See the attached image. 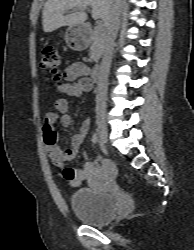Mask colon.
<instances>
[{
    "label": "colon",
    "mask_w": 194,
    "mask_h": 250,
    "mask_svg": "<svg viewBox=\"0 0 194 250\" xmlns=\"http://www.w3.org/2000/svg\"><path fill=\"white\" fill-rule=\"evenodd\" d=\"M61 57L54 46H47L42 50L40 66L42 69L50 71L55 89L60 90L65 81L60 72ZM110 165V164H109Z\"/></svg>",
    "instance_id": "obj_1"
}]
</instances>
